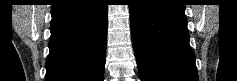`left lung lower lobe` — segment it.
<instances>
[{"label": "left lung lower lobe", "instance_id": "obj_1", "mask_svg": "<svg viewBox=\"0 0 237 81\" xmlns=\"http://www.w3.org/2000/svg\"><path fill=\"white\" fill-rule=\"evenodd\" d=\"M132 43L141 81H198L181 0H134Z\"/></svg>", "mask_w": 237, "mask_h": 81}]
</instances>
